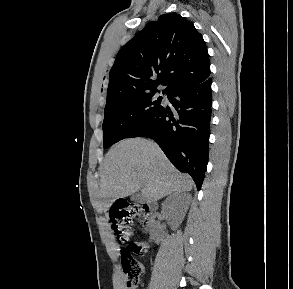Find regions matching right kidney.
<instances>
[{
  "mask_svg": "<svg viewBox=\"0 0 293 289\" xmlns=\"http://www.w3.org/2000/svg\"><path fill=\"white\" fill-rule=\"evenodd\" d=\"M162 208L163 210L169 212L172 218V228H174L182 222L185 216L186 203L181 201L178 193H174L164 201Z\"/></svg>",
  "mask_w": 293,
  "mask_h": 289,
  "instance_id": "ca27d5eb",
  "label": "right kidney"
}]
</instances>
